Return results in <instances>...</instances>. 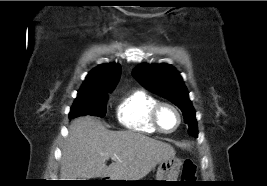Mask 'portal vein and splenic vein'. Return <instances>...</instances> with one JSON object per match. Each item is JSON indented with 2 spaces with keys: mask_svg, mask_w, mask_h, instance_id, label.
<instances>
[{
  "mask_svg": "<svg viewBox=\"0 0 267 186\" xmlns=\"http://www.w3.org/2000/svg\"><path fill=\"white\" fill-rule=\"evenodd\" d=\"M112 159H118L117 155H114V156L112 157Z\"/></svg>",
  "mask_w": 267,
  "mask_h": 186,
  "instance_id": "1",
  "label": "portal vein and splenic vein"
}]
</instances>
